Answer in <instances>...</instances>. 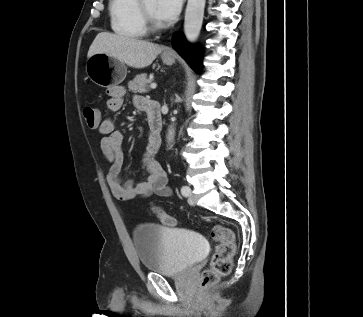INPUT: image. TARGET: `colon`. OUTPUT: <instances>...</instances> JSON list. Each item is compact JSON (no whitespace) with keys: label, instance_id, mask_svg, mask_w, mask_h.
I'll return each mask as SVG.
<instances>
[{"label":"colon","instance_id":"5ec220e1","mask_svg":"<svg viewBox=\"0 0 363 317\" xmlns=\"http://www.w3.org/2000/svg\"><path fill=\"white\" fill-rule=\"evenodd\" d=\"M83 117L90 129L99 128L101 116L97 108L85 106L83 108ZM152 209L164 225L174 226L176 224L175 218L160 208L154 206ZM212 237L216 242V247L212 255L210 267L204 270L200 276V288L202 290H207L216 284L221 277L230 273L236 250L234 233L230 228L215 226L212 230Z\"/></svg>","mask_w":363,"mask_h":317}]
</instances>
